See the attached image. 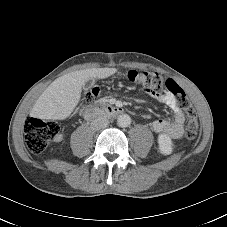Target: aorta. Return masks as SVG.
Wrapping results in <instances>:
<instances>
[{
	"mask_svg": "<svg viewBox=\"0 0 227 227\" xmlns=\"http://www.w3.org/2000/svg\"><path fill=\"white\" fill-rule=\"evenodd\" d=\"M117 124L120 127H128L131 124V117L128 114L119 115Z\"/></svg>",
	"mask_w": 227,
	"mask_h": 227,
	"instance_id": "1",
	"label": "aorta"
}]
</instances>
